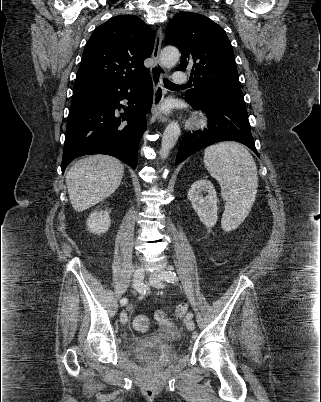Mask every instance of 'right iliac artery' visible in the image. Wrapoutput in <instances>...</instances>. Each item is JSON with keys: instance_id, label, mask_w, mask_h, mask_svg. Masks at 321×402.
Returning a JSON list of instances; mask_svg holds the SVG:
<instances>
[{"instance_id": "obj_1", "label": "right iliac artery", "mask_w": 321, "mask_h": 402, "mask_svg": "<svg viewBox=\"0 0 321 402\" xmlns=\"http://www.w3.org/2000/svg\"><path fill=\"white\" fill-rule=\"evenodd\" d=\"M134 287H135V289H136L137 291L141 292L142 289H141V287H140V284H134ZM127 302H128L127 298H122V299L120 300V303H121L122 306L126 305Z\"/></svg>"}]
</instances>
